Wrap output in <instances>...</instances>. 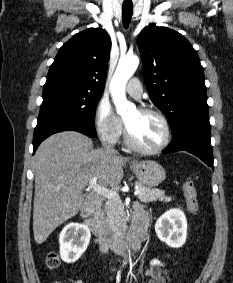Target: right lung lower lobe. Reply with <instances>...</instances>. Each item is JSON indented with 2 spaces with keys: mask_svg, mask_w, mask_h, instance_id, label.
Instances as JSON below:
<instances>
[{
  "mask_svg": "<svg viewBox=\"0 0 233 283\" xmlns=\"http://www.w3.org/2000/svg\"><path fill=\"white\" fill-rule=\"evenodd\" d=\"M61 131H78L89 137L96 136V131L92 124L63 117L48 118L37 123L33 137V154L44 139Z\"/></svg>",
  "mask_w": 233,
  "mask_h": 283,
  "instance_id": "obj_1",
  "label": "right lung lower lobe"
}]
</instances>
